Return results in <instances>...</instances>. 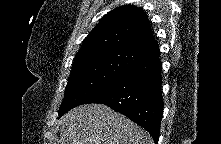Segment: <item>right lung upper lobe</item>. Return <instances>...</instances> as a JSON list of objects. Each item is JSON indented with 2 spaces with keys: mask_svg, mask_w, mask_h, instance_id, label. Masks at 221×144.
<instances>
[{
  "mask_svg": "<svg viewBox=\"0 0 221 144\" xmlns=\"http://www.w3.org/2000/svg\"><path fill=\"white\" fill-rule=\"evenodd\" d=\"M158 47L146 14L135 6L125 5L102 17L84 39L74 61L106 51H124L144 57Z\"/></svg>",
  "mask_w": 221,
  "mask_h": 144,
  "instance_id": "cb5924a9",
  "label": "right lung upper lobe"
}]
</instances>
